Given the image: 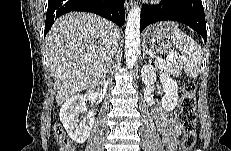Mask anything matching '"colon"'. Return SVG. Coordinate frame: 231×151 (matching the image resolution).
Instances as JSON below:
<instances>
[{
	"label": "colon",
	"instance_id": "1",
	"mask_svg": "<svg viewBox=\"0 0 231 151\" xmlns=\"http://www.w3.org/2000/svg\"><path fill=\"white\" fill-rule=\"evenodd\" d=\"M196 84L193 81H187L183 85V97L180 101L179 118L182 124L181 148L184 151L190 150L196 143ZM57 144L61 151H75V146L67 137L63 128L56 125L54 128Z\"/></svg>",
	"mask_w": 231,
	"mask_h": 151
}]
</instances>
